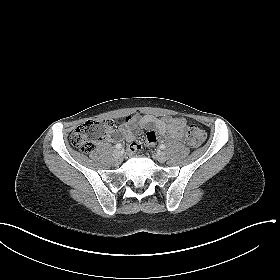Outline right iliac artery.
Segmentation results:
<instances>
[{"mask_svg":"<svg viewBox=\"0 0 280 280\" xmlns=\"http://www.w3.org/2000/svg\"><path fill=\"white\" fill-rule=\"evenodd\" d=\"M117 149H121L122 148V144H116V146H115Z\"/></svg>","mask_w":280,"mask_h":280,"instance_id":"1","label":"right iliac artery"}]
</instances>
